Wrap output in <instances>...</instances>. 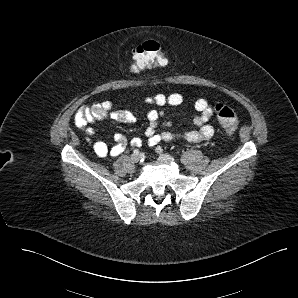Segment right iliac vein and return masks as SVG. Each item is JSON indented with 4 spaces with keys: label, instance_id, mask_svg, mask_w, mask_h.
Masks as SVG:
<instances>
[{
    "label": "right iliac vein",
    "instance_id": "63e3f726",
    "mask_svg": "<svg viewBox=\"0 0 298 298\" xmlns=\"http://www.w3.org/2000/svg\"><path fill=\"white\" fill-rule=\"evenodd\" d=\"M139 160H140L139 155H136V154H132V155H131V161H132L133 163H138Z\"/></svg>",
    "mask_w": 298,
    "mask_h": 298
}]
</instances>
